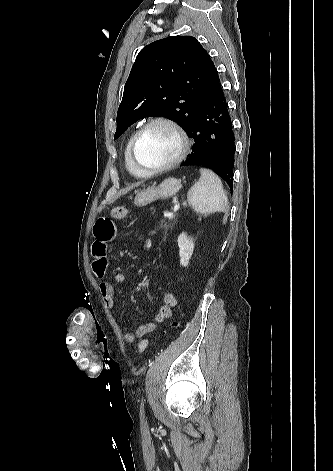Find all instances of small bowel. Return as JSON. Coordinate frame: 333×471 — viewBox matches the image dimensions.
<instances>
[{
    "label": "small bowel",
    "instance_id": "small-bowel-1",
    "mask_svg": "<svg viewBox=\"0 0 333 471\" xmlns=\"http://www.w3.org/2000/svg\"><path fill=\"white\" fill-rule=\"evenodd\" d=\"M95 240L92 244L93 270L96 276L100 279L104 278L107 274L109 261L107 258V247L110 241L115 238L116 225L109 217L103 216L96 220L93 228ZM151 247L150 240H146V249ZM116 284H122L125 281L123 273H116L113 277ZM99 289L106 307L113 308L115 301V290L112 283L102 281L99 284ZM177 305V297L171 292H166L163 296V305L154 316V321L144 323L137 327L135 332L128 331L125 333V340L128 343L134 342L137 338H142L147 334L152 333L157 324L163 323L165 320L173 315V310Z\"/></svg>",
    "mask_w": 333,
    "mask_h": 471
}]
</instances>
